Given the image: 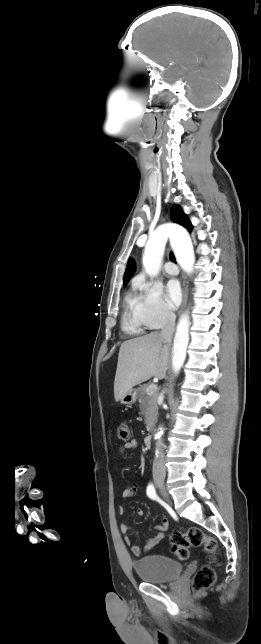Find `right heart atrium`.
<instances>
[{"instance_id":"d8ad5b80","label":"right heart atrium","mask_w":261,"mask_h":644,"mask_svg":"<svg viewBox=\"0 0 261 644\" xmlns=\"http://www.w3.org/2000/svg\"><path fill=\"white\" fill-rule=\"evenodd\" d=\"M135 286L139 291L138 310L144 324L151 329H158L174 321V313L165 302L159 284L138 278Z\"/></svg>"}]
</instances>
